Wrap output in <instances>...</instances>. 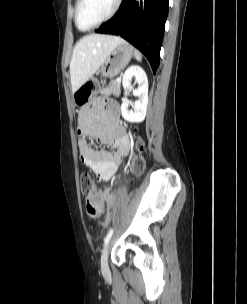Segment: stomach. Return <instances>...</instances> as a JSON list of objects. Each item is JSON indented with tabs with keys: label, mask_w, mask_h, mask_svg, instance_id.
Segmentation results:
<instances>
[{
	"label": "stomach",
	"mask_w": 247,
	"mask_h": 304,
	"mask_svg": "<svg viewBox=\"0 0 247 304\" xmlns=\"http://www.w3.org/2000/svg\"><path fill=\"white\" fill-rule=\"evenodd\" d=\"M134 49L128 43L118 45L101 65L99 73L104 78H113L130 62ZM98 93L97 83L86 81L73 93V99L77 106H86Z\"/></svg>",
	"instance_id": "0dacf381"
}]
</instances>
